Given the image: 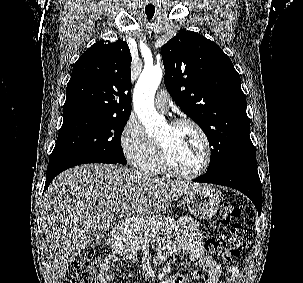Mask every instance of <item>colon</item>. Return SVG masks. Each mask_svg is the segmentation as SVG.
Instances as JSON below:
<instances>
[{
	"instance_id": "5ec220e1",
	"label": "colon",
	"mask_w": 303,
	"mask_h": 283,
	"mask_svg": "<svg viewBox=\"0 0 303 283\" xmlns=\"http://www.w3.org/2000/svg\"><path fill=\"white\" fill-rule=\"evenodd\" d=\"M241 215L238 206L230 201H225L221 206L220 221L229 226V231L220 236H215L206 242L207 248L222 261L229 262L239 256L246 246V237L243 226L237 221ZM101 254L97 250H90L75 260L68 267L65 283H95L98 264ZM201 276V271L195 274ZM187 277L179 276L177 283H186Z\"/></svg>"
}]
</instances>
